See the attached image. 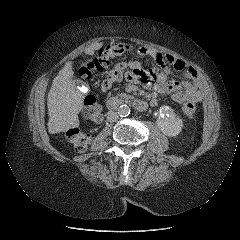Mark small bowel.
<instances>
[{
    "label": "small bowel",
    "instance_id": "small-bowel-1",
    "mask_svg": "<svg viewBox=\"0 0 240 240\" xmlns=\"http://www.w3.org/2000/svg\"><path fill=\"white\" fill-rule=\"evenodd\" d=\"M139 57L151 58L158 68L145 69L144 64L131 58L125 62L115 65L106 75L101 84L103 92L108 91L112 84L121 79L134 84H143L153 88L158 93L171 94L173 101L183 104L185 102L199 103L202 99L201 85L196 70L183 60L171 54H163L150 47H140L137 51ZM168 66L176 70H183L185 76L182 80H168ZM127 69H130L127 71ZM157 99L153 96L150 105L155 106Z\"/></svg>",
    "mask_w": 240,
    "mask_h": 240
}]
</instances>
